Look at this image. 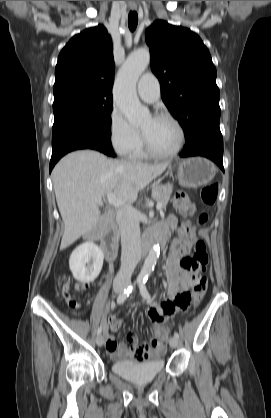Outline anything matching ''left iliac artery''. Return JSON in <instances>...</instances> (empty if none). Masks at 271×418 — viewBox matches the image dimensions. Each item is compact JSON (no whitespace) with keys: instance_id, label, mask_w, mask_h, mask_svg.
<instances>
[{"instance_id":"44dca946","label":"left iliac artery","mask_w":271,"mask_h":418,"mask_svg":"<svg viewBox=\"0 0 271 418\" xmlns=\"http://www.w3.org/2000/svg\"><path fill=\"white\" fill-rule=\"evenodd\" d=\"M138 284H139V289H140V293H141L142 297L145 300L150 301L151 300V296H150V294H149V292L147 290V287H146V280H141V281H139ZM174 337L177 338V339H179L178 332H174Z\"/></svg>"}]
</instances>
